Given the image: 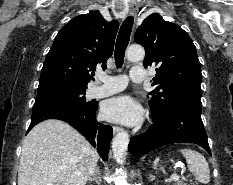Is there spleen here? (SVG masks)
I'll return each instance as SVG.
<instances>
[{
  "mask_svg": "<svg viewBox=\"0 0 233 185\" xmlns=\"http://www.w3.org/2000/svg\"><path fill=\"white\" fill-rule=\"evenodd\" d=\"M180 152L186 158L188 169L192 172L201 183L208 184L210 182V169L205 157L191 149H181ZM159 158L154 161V165L158 164Z\"/></svg>",
  "mask_w": 233,
  "mask_h": 185,
  "instance_id": "3e777b00",
  "label": "spleen"
}]
</instances>
